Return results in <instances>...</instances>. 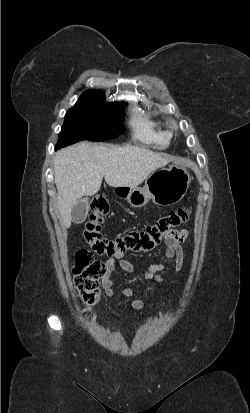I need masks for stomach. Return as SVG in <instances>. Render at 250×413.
<instances>
[{
  "label": "stomach",
  "instance_id": "0dacf381",
  "mask_svg": "<svg viewBox=\"0 0 250 413\" xmlns=\"http://www.w3.org/2000/svg\"><path fill=\"white\" fill-rule=\"evenodd\" d=\"M190 184L187 168L174 162L167 169L153 172L145 181L144 187H115L116 195L127 199L134 208L144 207L151 199L159 206H170L179 202Z\"/></svg>",
  "mask_w": 250,
  "mask_h": 413
}]
</instances>
